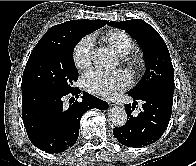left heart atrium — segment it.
Listing matches in <instances>:
<instances>
[{
  "label": "left heart atrium",
  "mask_w": 196,
  "mask_h": 166,
  "mask_svg": "<svg viewBox=\"0 0 196 166\" xmlns=\"http://www.w3.org/2000/svg\"><path fill=\"white\" fill-rule=\"evenodd\" d=\"M82 82L88 92L110 97L126 89L131 83V77L125 71L93 69L84 75Z\"/></svg>",
  "instance_id": "obj_1"
}]
</instances>
